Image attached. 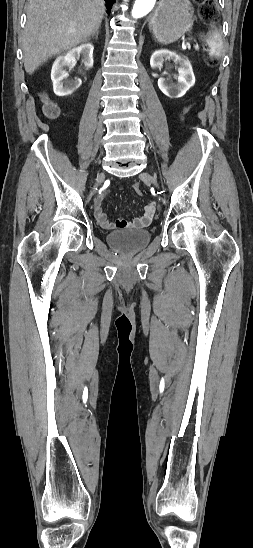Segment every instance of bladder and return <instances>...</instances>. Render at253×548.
Returning a JSON list of instances; mask_svg holds the SVG:
<instances>
[{"instance_id":"obj_1","label":"bladder","mask_w":253,"mask_h":548,"mask_svg":"<svg viewBox=\"0 0 253 548\" xmlns=\"http://www.w3.org/2000/svg\"><path fill=\"white\" fill-rule=\"evenodd\" d=\"M151 233L147 229H126L112 231L107 235L110 246L126 253H133L148 244Z\"/></svg>"}]
</instances>
